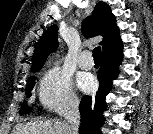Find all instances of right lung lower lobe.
I'll list each match as a JSON object with an SVG mask.
<instances>
[{
  "label": "right lung lower lobe",
  "instance_id": "right-lung-lower-lobe-1",
  "mask_svg": "<svg viewBox=\"0 0 153 134\" xmlns=\"http://www.w3.org/2000/svg\"><path fill=\"white\" fill-rule=\"evenodd\" d=\"M122 42L102 53V64L98 72L99 89L95 97L84 96L80 103V134H101L100 127L105 118V97L110 92L112 80L118 74V66L122 61Z\"/></svg>",
  "mask_w": 153,
  "mask_h": 134
}]
</instances>
